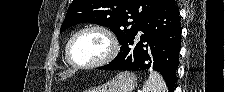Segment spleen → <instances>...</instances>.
<instances>
[{
	"label": "spleen",
	"instance_id": "spleen-1",
	"mask_svg": "<svg viewBox=\"0 0 225 92\" xmlns=\"http://www.w3.org/2000/svg\"><path fill=\"white\" fill-rule=\"evenodd\" d=\"M142 92H168V88L158 72L150 71L149 77L143 85Z\"/></svg>",
	"mask_w": 225,
	"mask_h": 92
}]
</instances>
